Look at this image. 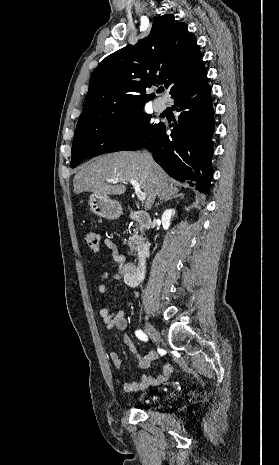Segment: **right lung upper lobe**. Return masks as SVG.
<instances>
[{"label": "right lung upper lobe", "mask_w": 279, "mask_h": 465, "mask_svg": "<svg viewBox=\"0 0 279 465\" xmlns=\"http://www.w3.org/2000/svg\"><path fill=\"white\" fill-rule=\"evenodd\" d=\"M205 75L200 47L186 24L171 14L160 16L146 38L110 54L95 69L77 126L143 107L152 98L146 90L159 82L173 96Z\"/></svg>", "instance_id": "1"}]
</instances>
